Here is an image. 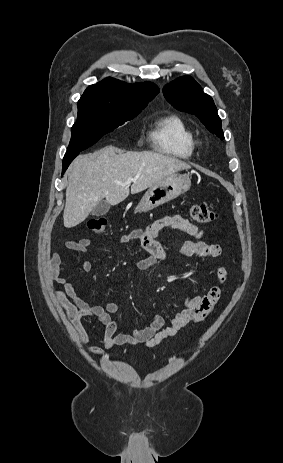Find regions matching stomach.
<instances>
[{
    "mask_svg": "<svg viewBox=\"0 0 283 463\" xmlns=\"http://www.w3.org/2000/svg\"><path fill=\"white\" fill-rule=\"evenodd\" d=\"M191 186V180L186 175H170L151 186L137 207L135 213L148 212L158 206L175 199L186 192Z\"/></svg>",
    "mask_w": 283,
    "mask_h": 463,
    "instance_id": "1",
    "label": "stomach"
}]
</instances>
